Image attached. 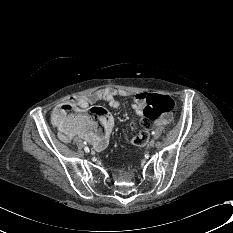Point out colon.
Listing matches in <instances>:
<instances>
[{
	"instance_id": "colon-1",
	"label": "colon",
	"mask_w": 233,
	"mask_h": 233,
	"mask_svg": "<svg viewBox=\"0 0 233 233\" xmlns=\"http://www.w3.org/2000/svg\"><path fill=\"white\" fill-rule=\"evenodd\" d=\"M136 109L142 112L140 120V133L134 140L138 145L144 144L149 138L151 125L154 122L168 120L174 107L173 100L167 95L149 94L142 92L134 100ZM75 110L70 104H63L59 107L53 121L57 127L66 128L69 126L68 120ZM111 114L103 107H94L90 112L80 113L76 118V124L85 129L97 130L95 118L99 120H109Z\"/></svg>"
}]
</instances>
